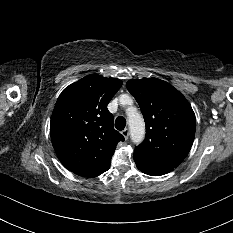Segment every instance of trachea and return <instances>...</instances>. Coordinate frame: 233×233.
<instances>
[{
    "instance_id": "3493384b",
    "label": "trachea",
    "mask_w": 233,
    "mask_h": 233,
    "mask_svg": "<svg viewBox=\"0 0 233 233\" xmlns=\"http://www.w3.org/2000/svg\"><path fill=\"white\" fill-rule=\"evenodd\" d=\"M126 126V119L123 116H118L115 120V127L117 130L122 131Z\"/></svg>"
}]
</instances>
